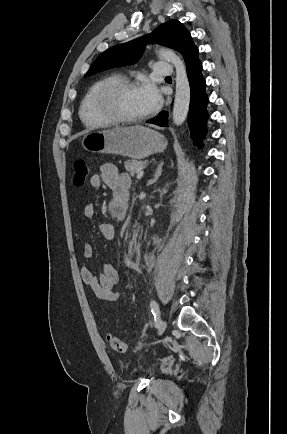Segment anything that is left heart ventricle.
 Listing matches in <instances>:
<instances>
[{"label": "left heart ventricle", "mask_w": 287, "mask_h": 434, "mask_svg": "<svg viewBox=\"0 0 287 434\" xmlns=\"http://www.w3.org/2000/svg\"><path fill=\"white\" fill-rule=\"evenodd\" d=\"M138 88L125 90L118 95L116 107L121 115L137 117L147 113Z\"/></svg>", "instance_id": "b2bd125f"}]
</instances>
